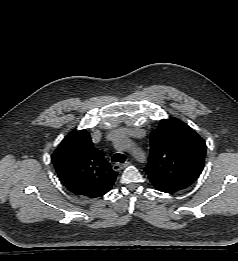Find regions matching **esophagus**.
I'll list each match as a JSON object with an SVG mask.
<instances>
[{
  "label": "esophagus",
  "instance_id": "obj_1",
  "mask_svg": "<svg viewBox=\"0 0 238 261\" xmlns=\"http://www.w3.org/2000/svg\"><path fill=\"white\" fill-rule=\"evenodd\" d=\"M130 164V162L129 161H126V162H124V163H115L114 165H113V170L114 171H120V170H122V169H124L126 166H128Z\"/></svg>",
  "mask_w": 238,
  "mask_h": 261
}]
</instances>
